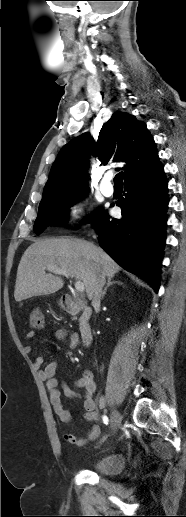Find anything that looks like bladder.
<instances>
[{"label":"bladder","mask_w":186,"mask_h":517,"mask_svg":"<svg viewBox=\"0 0 186 517\" xmlns=\"http://www.w3.org/2000/svg\"><path fill=\"white\" fill-rule=\"evenodd\" d=\"M126 458L123 454H112L97 460L93 464V470L99 474L115 475L123 471Z\"/></svg>","instance_id":"obj_1"}]
</instances>
